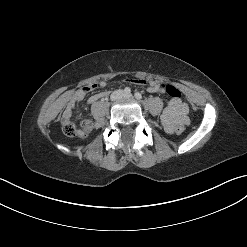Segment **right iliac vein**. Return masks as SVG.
<instances>
[{"label":"right iliac vein","instance_id":"obj_1","mask_svg":"<svg viewBox=\"0 0 247 247\" xmlns=\"http://www.w3.org/2000/svg\"><path fill=\"white\" fill-rule=\"evenodd\" d=\"M123 96V93L121 91H116L115 93L112 94L111 99L112 100H117Z\"/></svg>","mask_w":247,"mask_h":247}]
</instances>
